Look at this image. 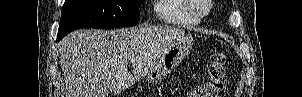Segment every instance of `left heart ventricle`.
Here are the masks:
<instances>
[{
	"instance_id": "b2bd125f",
	"label": "left heart ventricle",
	"mask_w": 302,
	"mask_h": 97,
	"mask_svg": "<svg viewBox=\"0 0 302 97\" xmlns=\"http://www.w3.org/2000/svg\"><path fill=\"white\" fill-rule=\"evenodd\" d=\"M195 5H196L197 10H199V11L205 10L204 0H195Z\"/></svg>"
}]
</instances>
